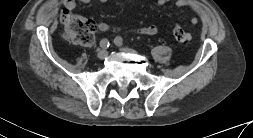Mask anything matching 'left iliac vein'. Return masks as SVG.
Segmentation results:
<instances>
[{
  "label": "left iliac vein",
  "instance_id": "left-iliac-vein-1",
  "mask_svg": "<svg viewBox=\"0 0 253 138\" xmlns=\"http://www.w3.org/2000/svg\"><path fill=\"white\" fill-rule=\"evenodd\" d=\"M120 50L127 53H136L133 49L128 47H121Z\"/></svg>",
  "mask_w": 253,
  "mask_h": 138
}]
</instances>
